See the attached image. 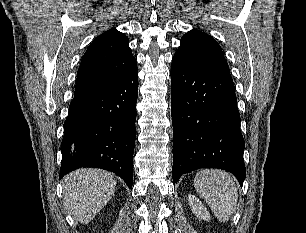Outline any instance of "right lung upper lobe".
<instances>
[{
	"label": "right lung upper lobe",
	"mask_w": 306,
	"mask_h": 233,
	"mask_svg": "<svg viewBox=\"0 0 306 233\" xmlns=\"http://www.w3.org/2000/svg\"><path fill=\"white\" fill-rule=\"evenodd\" d=\"M127 36L110 29L96 37L82 57L74 97L109 88L137 67Z\"/></svg>",
	"instance_id": "obj_1"
}]
</instances>
